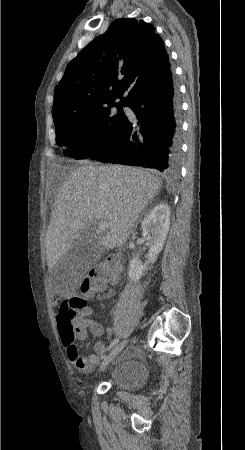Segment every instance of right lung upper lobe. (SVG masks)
Wrapping results in <instances>:
<instances>
[{
    "instance_id": "1",
    "label": "right lung upper lobe",
    "mask_w": 245,
    "mask_h": 450,
    "mask_svg": "<svg viewBox=\"0 0 245 450\" xmlns=\"http://www.w3.org/2000/svg\"><path fill=\"white\" fill-rule=\"evenodd\" d=\"M169 67L163 40L152 25L132 18L117 19L67 65L55 88L53 110L127 105ZM126 91L127 98L115 103L124 99Z\"/></svg>"
}]
</instances>
